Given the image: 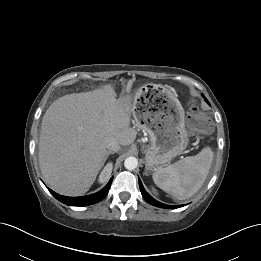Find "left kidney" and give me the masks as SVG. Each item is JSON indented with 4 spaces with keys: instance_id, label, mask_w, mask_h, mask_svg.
Segmentation results:
<instances>
[{
    "instance_id": "5707ae66",
    "label": "left kidney",
    "mask_w": 261,
    "mask_h": 261,
    "mask_svg": "<svg viewBox=\"0 0 261 261\" xmlns=\"http://www.w3.org/2000/svg\"><path fill=\"white\" fill-rule=\"evenodd\" d=\"M152 191L155 193V190H154V189H152Z\"/></svg>"
}]
</instances>
